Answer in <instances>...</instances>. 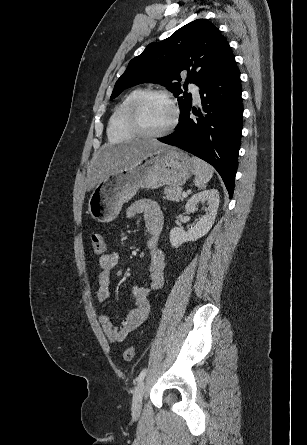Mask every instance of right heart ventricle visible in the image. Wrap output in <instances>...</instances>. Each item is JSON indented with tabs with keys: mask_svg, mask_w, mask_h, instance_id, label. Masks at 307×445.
Instances as JSON below:
<instances>
[{
	"mask_svg": "<svg viewBox=\"0 0 307 445\" xmlns=\"http://www.w3.org/2000/svg\"><path fill=\"white\" fill-rule=\"evenodd\" d=\"M143 88L133 90L114 110L108 124V136L111 140H135V131L130 123V109L134 101L144 92Z\"/></svg>",
	"mask_w": 307,
	"mask_h": 445,
	"instance_id": "e07e8e85",
	"label": "right heart ventricle"
}]
</instances>
